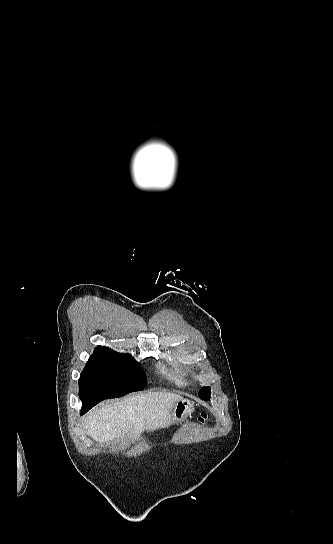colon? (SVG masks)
<instances>
[{
	"instance_id": "1",
	"label": "colon",
	"mask_w": 333,
	"mask_h": 544,
	"mask_svg": "<svg viewBox=\"0 0 333 544\" xmlns=\"http://www.w3.org/2000/svg\"><path fill=\"white\" fill-rule=\"evenodd\" d=\"M199 423L205 424L208 421V414L202 413L198 418Z\"/></svg>"
}]
</instances>
